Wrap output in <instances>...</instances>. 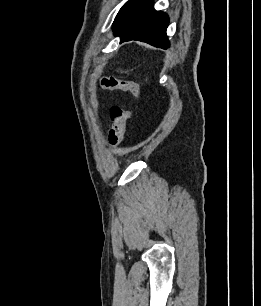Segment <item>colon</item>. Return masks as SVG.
I'll list each match as a JSON object with an SVG mask.
<instances>
[{"label": "colon", "instance_id": "obj_1", "mask_svg": "<svg viewBox=\"0 0 261 306\" xmlns=\"http://www.w3.org/2000/svg\"><path fill=\"white\" fill-rule=\"evenodd\" d=\"M101 86L106 90H121L132 93L136 97H140L142 89L132 80L121 79L115 76H104L101 79ZM132 117V113L118 106H113L110 110V118L112 127L108 133V141L112 146L121 144L127 121Z\"/></svg>", "mask_w": 261, "mask_h": 306}]
</instances>
